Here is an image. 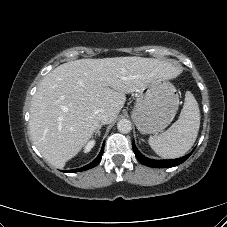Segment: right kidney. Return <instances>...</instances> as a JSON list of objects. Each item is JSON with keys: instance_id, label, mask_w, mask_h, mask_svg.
Instances as JSON below:
<instances>
[{"instance_id": "1", "label": "right kidney", "mask_w": 227, "mask_h": 227, "mask_svg": "<svg viewBox=\"0 0 227 227\" xmlns=\"http://www.w3.org/2000/svg\"><path fill=\"white\" fill-rule=\"evenodd\" d=\"M95 145V140H91L87 143V145L85 146L84 152L87 153L89 152Z\"/></svg>"}]
</instances>
